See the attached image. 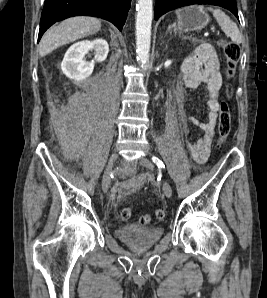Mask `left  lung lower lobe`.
<instances>
[{"instance_id":"0a47b994","label":"left lung lower lobe","mask_w":267,"mask_h":298,"mask_svg":"<svg viewBox=\"0 0 267 298\" xmlns=\"http://www.w3.org/2000/svg\"><path fill=\"white\" fill-rule=\"evenodd\" d=\"M194 4H211L230 10L237 18L236 0H157L155 6V20L168 11Z\"/></svg>"}]
</instances>
